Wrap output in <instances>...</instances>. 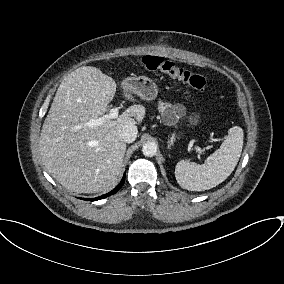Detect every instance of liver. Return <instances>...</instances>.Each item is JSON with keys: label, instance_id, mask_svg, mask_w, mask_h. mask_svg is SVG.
<instances>
[{"label": "liver", "instance_id": "obj_1", "mask_svg": "<svg viewBox=\"0 0 284 284\" xmlns=\"http://www.w3.org/2000/svg\"><path fill=\"white\" fill-rule=\"evenodd\" d=\"M116 87L100 69L82 66L65 77L55 94L42 126L39 150L48 173L73 192H108L122 174L126 151L122 128L140 123L145 108L134 105L116 119L89 125L107 115ZM122 89L127 100L136 101L131 91Z\"/></svg>", "mask_w": 284, "mask_h": 284}]
</instances>
